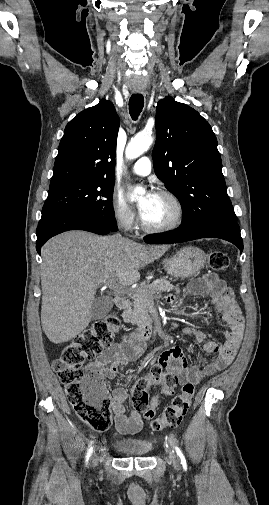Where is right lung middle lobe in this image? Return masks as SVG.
Returning <instances> with one entry per match:
<instances>
[{
    "label": "right lung middle lobe",
    "instance_id": "dd1d6c3e",
    "mask_svg": "<svg viewBox=\"0 0 269 505\" xmlns=\"http://www.w3.org/2000/svg\"><path fill=\"white\" fill-rule=\"evenodd\" d=\"M114 180L80 181L49 188L42 217L65 212L117 230L112 209Z\"/></svg>",
    "mask_w": 269,
    "mask_h": 505
}]
</instances>
